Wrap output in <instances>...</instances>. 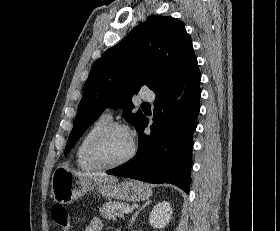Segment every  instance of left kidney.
Wrapping results in <instances>:
<instances>
[{"label":"left kidney","instance_id":"1","mask_svg":"<svg viewBox=\"0 0 280 231\" xmlns=\"http://www.w3.org/2000/svg\"><path fill=\"white\" fill-rule=\"evenodd\" d=\"M172 207L169 201H159L157 205H154L150 215L149 221L152 227H165L172 219Z\"/></svg>","mask_w":280,"mask_h":231}]
</instances>
